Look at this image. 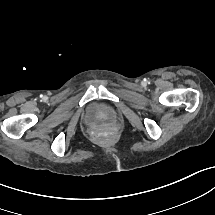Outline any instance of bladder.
<instances>
[{
	"mask_svg": "<svg viewBox=\"0 0 215 215\" xmlns=\"http://www.w3.org/2000/svg\"><path fill=\"white\" fill-rule=\"evenodd\" d=\"M83 119L89 126H110L117 121L118 112L107 102H95L87 107Z\"/></svg>",
	"mask_w": 215,
	"mask_h": 215,
	"instance_id": "31cf9c89",
	"label": "bladder"
}]
</instances>
